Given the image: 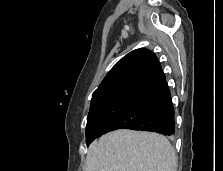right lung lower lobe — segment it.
<instances>
[{
  "label": "right lung lower lobe",
  "instance_id": "1",
  "mask_svg": "<svg viewBox=\"0 0 223 171\" xmlns=\"http://www.w3.org/2000/svg\"><path fill=\"white\" fill-rule=\"evenodd\" d=\"M123 128L163 135L174 133V108L165 79L136 96L100 134Z\"/></svg>",
  "mask_w": 223,
  "mask_h": 171
}]
</instances>
